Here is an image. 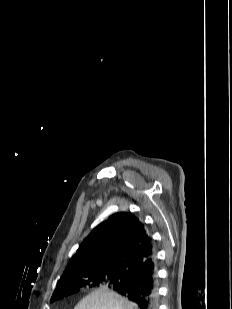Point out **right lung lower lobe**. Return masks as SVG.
I'll return each instance as SVG.
<instances>
[{"label":"right lung lower lobe","mask_w":232,"mask_h":309,"mask_svg":"<svg viewBox=\"0 0 232 309\" xmlns=\"http://www.w3.org/2000/svg\"><path fill=\"white\" fill-rule=\"evenodd\" d=\"M128 281L113 289L134 302L139 309H158L157 263L155 255L136 268L125 271Z\"/></svg>","instance_id":"obj_1"}]
</instances>
